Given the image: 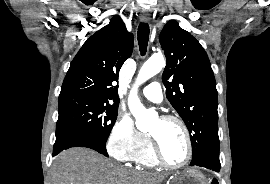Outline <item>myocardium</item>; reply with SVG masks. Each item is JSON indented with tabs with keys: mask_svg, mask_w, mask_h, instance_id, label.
Segmentation results:
<instances>
[{
	"mask_svg": "<svg viewBox=\"0 0 270 184\" xmlns=\"http://www.w3.org/2000/svg\"><path fill=\"white\" fill-rule=\"evenodd\" d=\"M160 120H162L164 122H173V123L178 124L181 127V129L183 130V133L185 135V139H186L187 153H186L185 159L180 164L174 165V164L167 162L165 160V158L163 157L158 140L152 134H150L149 135L150 142H151V147H152L154 157H155L156 161L158 162V164H160L161 166H163L165 168L172 169V170L181 169V168L185 167L190 162L192 155H193V145H192L190 131H189L187 125L185 124V122L177 116L164 115L160 118Z\"/></svg>",
	"mask_w": 270,
	"mask_h": 184,
	"instance_id": "myocardium-1",
	"label": "myocardium"
}]
</instances>
